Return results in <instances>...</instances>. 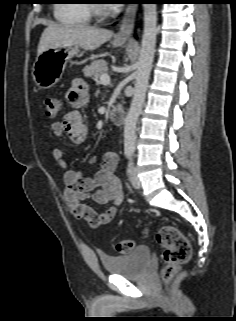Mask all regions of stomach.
I'll return each mask as SVG.
<instances>
[{
	"label": "stomach",
	"instance_id": "0dacf381",
	"mask_svg": "<svg viewBox=\"0 0 236 321\" xmlns=\"http://www.w3.org/2000/svg\"><path fill=\"white\" fill-rule=\"evenodd\" d=\"M113 46L123 44V41L114 40ZM80 52L78 46H53L37 55L33 64V79L42 89L53 87L62 77L66 64Z\"/></svg>",
	"mask_w": 236,
	"mask_h": 321
}]
</instances>
